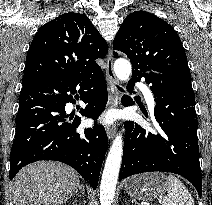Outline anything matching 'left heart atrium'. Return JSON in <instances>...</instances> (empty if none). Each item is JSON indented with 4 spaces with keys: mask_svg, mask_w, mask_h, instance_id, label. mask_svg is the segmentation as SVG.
I'll return each mask as SVG.
<instances>
[{
    "mask_svg": "<svg viewBox=\"0 0 212 205\" xmlns=\"http://www.w3.org/2000/svg\"><path fill=\"white\" fill-rule=\"evenodd\" d=\"M113 117L111 114H107L104 118H103V121L105 123H110L112 121Z\"/></svg>",
    "mask_w": 212,
    "mask_h": 205,
    "instance_id": "left-heart-atrium-1",
    "label": "left heart atrium"
}]
</instances>
